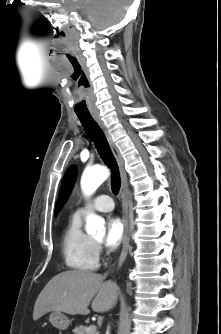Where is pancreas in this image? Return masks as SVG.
Here are the masks:
<instances>
[{"label":"pancreas","instance_id":"pancreas-1","mask_svg":"<svg viewBox=\"0 0 221 334\" xmlns=\"http://www.w3.org/2000/svg\"><path fill=\"white\" fill-rule=\"evenodd\" d=\"M73 333L75 334H98L97 332H94V333H90L88 332V327L87 326H79V327H75L73 329Z\"/></svg>","mask_w":221,"mask_h":334}]
</instances>
